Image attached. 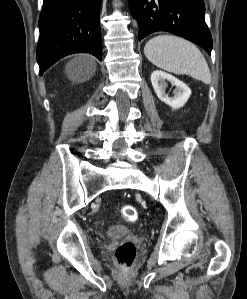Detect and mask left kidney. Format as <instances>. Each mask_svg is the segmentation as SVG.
<instances>
[{"instance_id":"5707ae66","label":"left kidney","mask_w":247,"mask_h":299,"mask_svg":"<svg viewBox=\"0 0 247 299\" xmlns=\"http://www.w3.org/2000/svg\"><path fill=\"white\" fill-rule=\"evenodd\" d=\"M165 80L176 86L173 91V97H169L165 93L167 87ZM151 83L157 97L166 102L172 109L183 107L191 95V90L185 83L161 70L153 71L151 74Z\"/></svg>"}]
</instances>
